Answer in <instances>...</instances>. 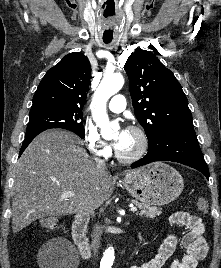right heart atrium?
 I'll list each match as a JSON object with an SVG mask.
<instances>
[{
	"label": "right heart atrium",
	"mask_w": 221,
	"mask_h": 268,
	"mask_svg": "<svg viewBox=\"0 0 221 268\" xmlns=\"http://www.w3.org/2000/svg\"><path fill=\"white\" fill-rule=\"evenodd\" d=\"M83 135L85 145L94 158L107 159L110 157V146L101 138L97 128L93 124L86 123Z\"/></svg>",
	"instance_id": "obj_1"
}]
</instances>
